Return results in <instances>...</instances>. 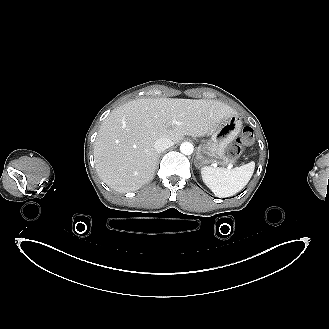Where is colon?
Masks as SVG:
<instances>
[{"label":"colon","instance_id":"obj_1","mask_svg":"<svg viewBox=\"0 0 329 329\" xmlns=\"http://www.w3.org/2000/svg\"><path fill=\"white\" fill-rule=\"evenodd\" d=\"M254 143V133L253 130L249 127H246L243 129L240 138H239V144L243 146H250ZM239 145L235 146V154H239Z\"/></svg>","mask_w":329,"mask_h":329}]
</instances>
